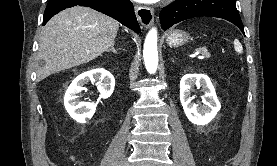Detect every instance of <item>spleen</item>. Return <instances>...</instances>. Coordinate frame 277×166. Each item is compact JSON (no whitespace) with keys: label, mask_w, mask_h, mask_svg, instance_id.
<instances>
[{"label":"spleen","mask_w":277,"mask_h":166,"mask_svg":"<svg viewBox=\"0 0 277 166\" xmlns=\"http://www.w3.org/2000/svg\"><path fill=\"white\" fill-rule=\"evenodd\" d=\"M234 49L236 52H238L240 54L243 53V47L238 39L234 40Z\"/></svg>","instance_id":"3e777b00"}]
</instances>
